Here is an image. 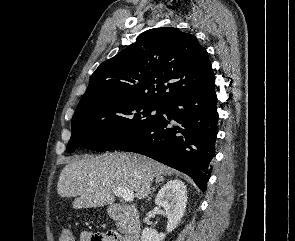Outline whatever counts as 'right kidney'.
Instances as JSON below:
<instances>
[{"label": "right kidney", "mask_w": 295, "mask_h": 241, "mask_svg": "<svg viewBox=\"0 0 295 241\" xmlns=\"http://www.w3.org/2000/svg\"><path fill=\"white\" fill-rule=\"evenodd\" d=\"M187 188L178 179L168 181L159 190L155 204L164 208V215L168 218L166 230L172 232L180 223L187 205ZM166 234L159 233L152 228H145L141 241H162Z\"/></svg>", "instance_id": "1"}]
</instances>
